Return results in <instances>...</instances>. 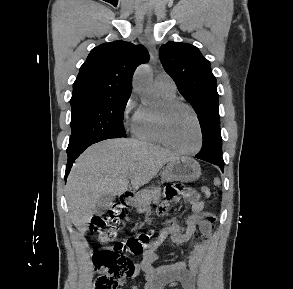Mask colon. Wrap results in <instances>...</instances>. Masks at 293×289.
<instances>
[{"label": "colon", "instance_id": "1", "mask_svg": "<svg viewBox=\"0 0 293 289\" xmlns=\"http://www.w3.org/2000/svg\"><path fill=\"white\" fill-rule=\"evenodd\" d=\"M187 188L180 184H170L166 188V202L159 209V215H166L171 210L174 203ZM202 193L206 197L212 195L209 186L201 187ZM123 215L120 205L114 204L108 212L101 216H95L91 222V231L104 243L115 242L118 238V225ZM152 232L141 233L117 242L114 247L98 251L94 255V265L98 273L95 289H115L119 281L135 271V266L129 256L141 255L150 246Z\"/></svg>", "mask_w": 293, "mask_h": 289}]
</instances>
